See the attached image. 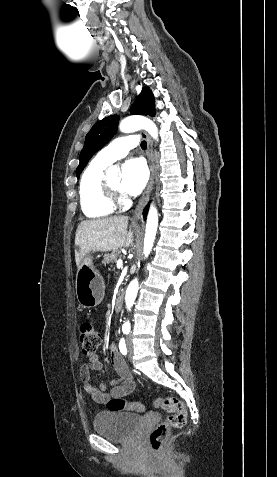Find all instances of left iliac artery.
I'll use <instances>...</instances> for the list:
<instances>
[{
    "label": "left iliac artery",
    "instance_id": "obj_1",
    "mask_svg": "<svg viewBox=\"0 0 277 477\" xmlns=\"http://www.w3.org/2000/svg\"><path fill=\"white\" fill-rule=\"evenodd\" d=\"M129 331H130L129 329H123V332H124L125 334H128Z\"/></svg>",
    "mask_w": 277,
    "mask_h": 477
}]
</instances>
